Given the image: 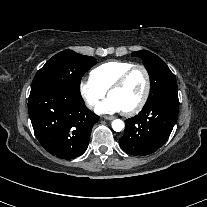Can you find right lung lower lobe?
I'll list each match as a JSON object with an SVG mask.
<instances>
[{
    "mask_svg": "<svg viewBox=\"0 0 207 207\" xmlns=\"http://www.w3.org/2000/svg\"><path fill=\"white\" fill-rule=\"evenodd\" d=\"M28 110L40 144L59 158L82 155L89 144L90 133L99 116L91 112L82 97L57 87L31 89Z\"/></svg>",
    "mask_w": 207,
    "mask_h": 207,
    "instance_id": "obj_1",
    "label": "right lung lower lobe"
}]
</instances>
